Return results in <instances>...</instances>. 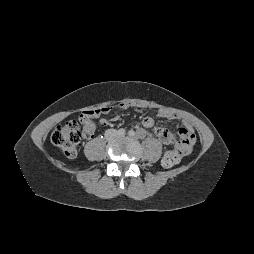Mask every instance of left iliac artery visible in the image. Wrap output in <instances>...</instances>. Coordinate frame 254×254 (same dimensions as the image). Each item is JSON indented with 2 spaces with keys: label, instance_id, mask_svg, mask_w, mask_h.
<instances>
[{
  "label": "left iliac artery",
  "instance_id": "left-iliac-artery-1",
  "mask_svg": "<svg viewBox=\"0 0 254 254\" xmlns=\"http://www.w3.org/2000/svg\"><path fill=\"white\" fill-rule=\"evenodd\" d=\"M128 135L131 136V137H133V136H135V132H134L133 130H130V131L128 132Z\"/></svg>",
  "mask_w": 254,
  "mask_h": 254
}]
</instances>
